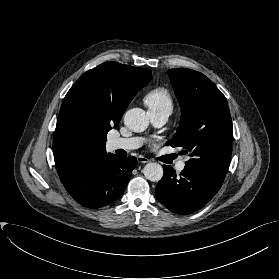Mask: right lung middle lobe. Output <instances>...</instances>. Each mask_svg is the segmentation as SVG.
Wrapping results in <instances>:
<instances>
[{
  "instance_id": "obj_1",
  "label": "right lung middle lobe",
  "mask_w": 279,
  "mask_h": 279,
  "mask_svg": "<svg viewBox=\"0 0 279 279\" xmlns=\"http://www.w3.org/2000/svg\"><path fill=\"white\" fill-rule=\"evenodd\" d=\"M110 128L102 127L91 119L80 107L70 124V131L73 142L78 146L89 145L94 140L106 141Z\"/></svg>"
}]
</instances>
